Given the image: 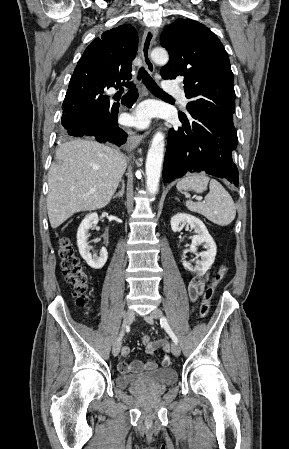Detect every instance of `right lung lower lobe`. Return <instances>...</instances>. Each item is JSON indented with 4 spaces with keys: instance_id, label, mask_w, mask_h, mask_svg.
I'll list each match as a JSON object with an SVG mask.
<instances>
[{
    "instance_id": "right-lung-lower-lobe-1",
    "label": "right lung lower lobe",
    "mask_w": 289,
    "mask_h": 449,
    "mask_svg": "<svg viewBox=\"0 0 289 449\" xmlns=\"http://www.w3.org/2000/svg\"><path fill=\"white\" fill-rule=\"evenodd\" d=\"M127 86V84H126ZM111 85L96 81H82L72 76L62 105V126L66 136H95L99 142L121 146L127 134L118 126L119 103H112L104 94ZM132 84L122 98V104L131 108L138 98Z\"/></svg>"
}]
</instances>
